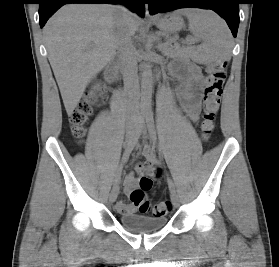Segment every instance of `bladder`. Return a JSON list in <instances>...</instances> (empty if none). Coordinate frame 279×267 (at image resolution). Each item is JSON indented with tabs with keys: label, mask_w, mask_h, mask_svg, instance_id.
Here are the masks:
<instances>
[{
	"label": "bladder",
	"mask_w": 279,
	"mask_h": 267,
	"mask_svg": "<svg viewBox=\"0 0 279 267\" xmlns=\"http://www.w3.org/2000/svg\"><path fill=\"white\" fill-rule=\"evenodd\" d=\"M119 219L124 228L134 232L158 231L167 223L165 217H152L137 213L122 214Z\"/></svg>",
	"instance_id": "31cf9c89"
}]
</instances>
